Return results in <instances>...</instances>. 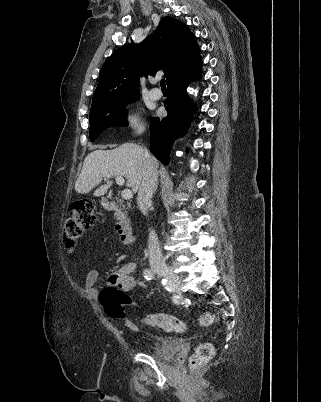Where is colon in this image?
<instances>
[{
    "label": "colon",
    "mask_w": 321,
    "mask_h": 402,
    "mask_svg": "<svg viewBox=\"0 0 321 402\" xmlns=\"http://www.w3.org/2000/svg\"><path fill=\"white\" fill-rule=\"evenodd\" d=\"M97 224L95 206L91 201L74 203L68 212L64 225V241L69 250H74L85 231L94 228ZM100 302L105 313L114 319L126 317L125 307L130 303V297L123 290L115 287H105L100 294ZM150 323L163 331L181 332L186 324L181 319L169 314L155 313L147 317ZM217 322L211 312H203L199 317L202 326H210ZM214 355V348L210 343L200 344L189 359V369L194 371L206 364Z\"/></svg>",
    "instance_id": "colon-1"
}]
</instances>
